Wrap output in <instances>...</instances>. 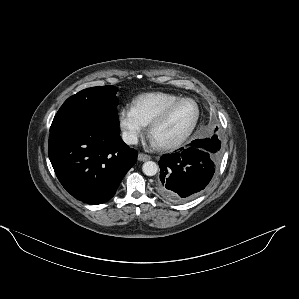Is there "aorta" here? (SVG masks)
Here are the masks:
<instances>
[{"label":"aorta","instance_id":"aorta-1","mask_svg":"<svg viewBox=\"0 0 299 299\" xmlns=\"http://www.w3.org/2000/svg\"><path fill=\"white\" fill-rule=\"evenodd\" d=\"M142 171L147 176H154L158 172V165L153 161H147L143 164Z\"/></svg>","mask_w":299,"mask_h":299}]
</instances>
